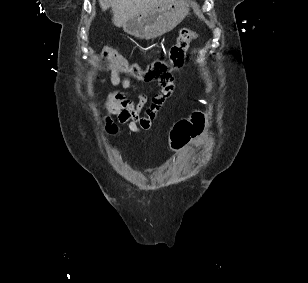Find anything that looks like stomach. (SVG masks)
<instances>
[{
  "mask_svg": "<svg viewBox=\"0 0 308 283\" xmlns=\"http://www.w3.org/2000/svg\"><path fill=\"white\" fill-rule=\"evenodd\" d=\"M188 13L189 0H169L129 18L123 29L136 38L149 40L174 29Z\"/></svg>",
  "mask_w": 308,
  "mask_h": 283,
  "instance_id": "stomach-1",
  "label": "stomach"
}]
</instances>
